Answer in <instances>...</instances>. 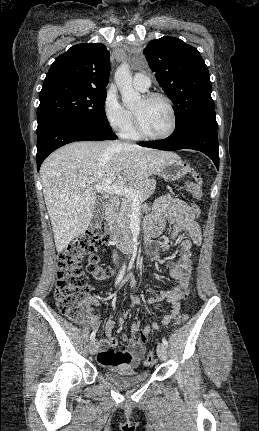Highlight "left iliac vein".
Listing matches in <instances>:
<instances>
[{
    "label": "left iliac vein",
    "instance_id": "left-iliac-vein-1",
    "mask_svg": "<svg viewBox=\"0 0 259 431\" xmlns=\"http://www.w3.org/2000/svg\"><path fill=\"white\" fill-rule=\"evenodd\" d=\"M157 355L160 360L165 361L167 358V349L163 343L158 344L157 346Z\"/></svg>",
    "mask_w": 259,
    "mask_h": 431
}]
</instances>
